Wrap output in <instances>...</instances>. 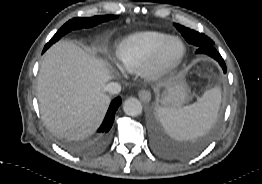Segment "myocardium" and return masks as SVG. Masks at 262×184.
Instances as JSON below:
<instances>
[{
  "mask_svg": "<svg viewBox=\"0 0 262 184\" xmlns=\"http://www.w3.org/2000/svg\"><path fill=\"white\" fill-rule=\"evenodd\" d=\"M173 44H178L179 52L174 56H169L168 51ZM186 54V46L178 37H170L154 53L151 59L143 67V74L149 79H159L175 68H177Z\"/></svg>",
  "mask_w": 262,
  "mask_h": 184,
  "instance_id": "myocardium-1",
  "label": "myocardium"
}]
</instances>
